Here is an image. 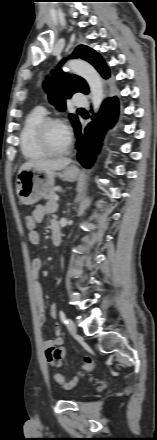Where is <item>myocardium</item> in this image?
<instances>
[{
    "label": "myocardium",
    "instance_id": "1",
    "mask_svg": "<svg viewBox=\"0 0 157 440\" xmlns=\"http://www.w3.org/2000/svg\"><path fill=\"white\" fill-rule=\"evenodd\" d=\"M53 124L63 125L61 120L57 118H45L36 127L34 138L36 144L47 154L51 156H62L68 154L72 149V140L69 139V144L62 150H53L47 141V129Z\"/></svg>",
    "mask_w": 157,
    "mask_h": 440
}]
</instances>
